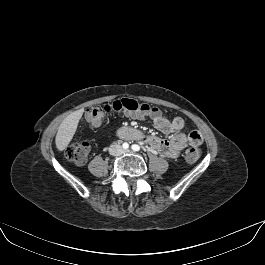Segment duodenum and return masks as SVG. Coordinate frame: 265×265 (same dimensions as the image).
I'll return each mask as SVG.
<instances>
[{"mask_svg":"<svg viewBox=\"0 0 265 265\" xmlns=\"http://www.w3.org/2000/svg\"><path fill=\"white\" fill-rule=\"evenodd\" d=\"M118 137L121 140H131L138 138V134L134 130L128 131L126 129H120L118 132Z\"/></svg>","mask_w":265,"mask_h":265,"instance_id":"obj_1","label":"duodenum"}]
</instances>
